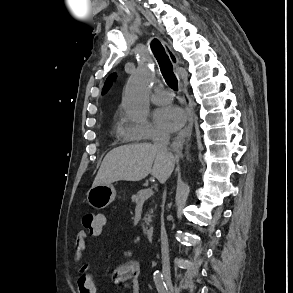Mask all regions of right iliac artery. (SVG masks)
<instances>
[{
	"label": "right iliac artery",
	"mask_w": 293,
	"mask_h": 293,
	"mask_svg": "<svg viewBox=\"0 0 293 293\" xmlns=\"http://www.w3.org/2000/svg\"><path fill=\"white\" fill-rule=\"evenodd\" d=\"M153 279L159 293H169L163 275L158 270L154 272Z\"/></svg>",
	"instance_id": "obj_1"
}]
</instances>
